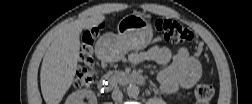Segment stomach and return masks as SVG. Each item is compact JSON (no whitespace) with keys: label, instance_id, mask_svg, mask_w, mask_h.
<instances>
[{"label":"stomach","instance_id":"obj_1","mask_svg":"<svg viewBox=\"0 0 252 104\" xmlns=\"http://www.w3.org/2000/svg\"><path fill=\"white\" fill-rule=\"evenodd\" d=\"M118 34L106 33L97 43L100 56L109 62L121 60L128 51L146 48L153 36L148 20L140 15L123 17L117 25Z\"/></svg>","mask_w":252,"mask_h":104}]
</instances>
